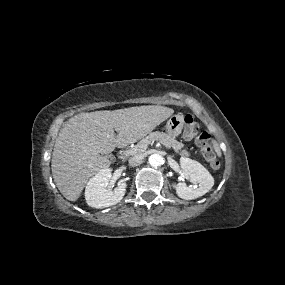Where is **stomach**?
Listing matches in <instances>:
<instances>
[{
    "label": "stomach",
    "mask_w": 285,
    "mask_h": 285,
    "mask_svg": "<svg viewBox=\"0 0 285 285\" xmlns=\"http://www.w3.org/2000/svg\"><path fill=\"white\" fill-rule=\"evenodd\" d=\"M183 124L182 115H173L166 122V132L172 137H177L182 132Z\"/></svg>",
    "instance_id": "stomach-1"
}]
</instances>
